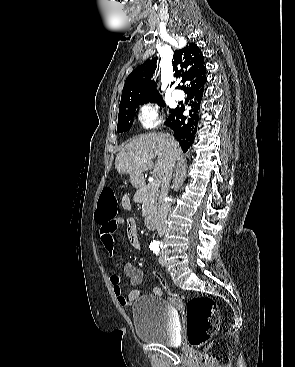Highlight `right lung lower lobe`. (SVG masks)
Returning <instances> with one entry per match:
<instances>
[{"label": "right lung lower lobe", "mask_w": 295, "mask_h": 367, "mask_svg": "<svg viewBox=\"0 0 295 367\" xmlns=\"http://www.w3.org/2000/svg\"><path fill=\"white\" fill-rule=\"evenodd\" d=\"M203 90L204 83L187 92L188 97L191 99L189 117L183 115L185 108L181 106L174 109L165 122V125L173 130L174 137L179 141L184 152L187 151L194 141V135L197 131L198 110L200 109Z\"/></svg>", "instance_id": "1"}]
</instances>
